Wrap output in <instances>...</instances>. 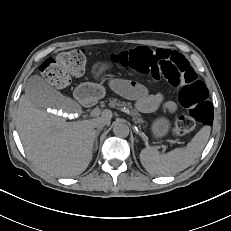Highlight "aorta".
Returning <instances> with one entry per match:
<instances>
[{
    "label": "aorta",
    "instance_id": "aorta-1",
    "mask_svg": "<svg viewBox=\"0 0 231 231\" xmlns=\"http://www.w3.org/2000/svg\"><path fill=\"white\" fill-rule=\"evenodd\" d=\"M113 133L117 137H127L129 135V127L125 123L117 122L114 124Z\"/></svg>",
    "mask_w": 231,
    "mask_h": 231
}]
</instances>
